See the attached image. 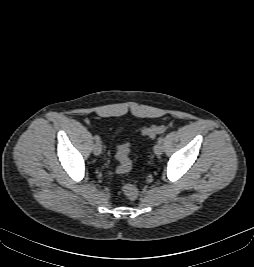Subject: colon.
<instances>
[{
  "label": "colon",
  "mask_w": 254,
  "mask_h": 267,
  "mask_svg": "<svg viewBox=\"0 0 254 267\" xmlns=\"http://www.w3.org/2000/svg\"><path fill=\"white\" fill-rule=\"evenodd\" d=\"M165 130H166V126L164 125H153L150 127L143 128L141 130V134L143 136L153 138L163 133ZM116 156L119 162V165L117 167V172L119 174L128 173L132 167V163L130 159V144L126 142V143L119 145ZM122 193L125 198L129 200H134L138 196V189L133 184H126L122 188Z\"/></svg>",
  "instance_id": "obj_1"
}]
</instances>
